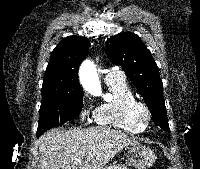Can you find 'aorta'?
I'll list each match as a JSON object with an SVG mask.
<instances>
[{
  "label": "aorta",
  "mask_w": 200,
  "mask_h": 169,
  "mask_svg": "<svg viewBox=\"0 0 200 169\" xmlns=\"http://www.w3.org/2000/svg\"><path fill=\"white\" fill-rule=\"evenodd\" d=\"M80 81L83 87L91 93H100L101 85L94 63L85 60L80 66Z\"/></svg>",
  "instance_id": "obj_1"
}]
</instances>
